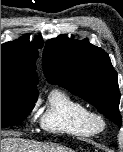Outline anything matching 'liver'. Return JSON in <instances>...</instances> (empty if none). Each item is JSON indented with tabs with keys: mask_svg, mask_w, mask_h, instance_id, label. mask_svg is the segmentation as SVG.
<instances>
[{
	"mask_svg": "<svg viewBox=\"0 0 123 152\" xmlns=\"http://www.w3.org/2000/svg\"><path fill=\"white\" fill-rule=\"evenodd\" d=\"M1 152H74L63 146L41 143L19 137L1 139Z\"/></svg>",
	"mask_w": 123,
	"mask_h": 152,
	"instance_id": "6515ba94",
	"label": "liver"
}]
</instances>
